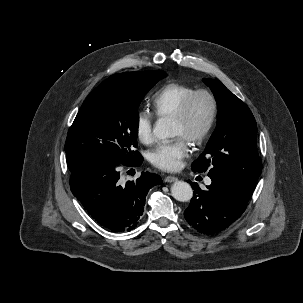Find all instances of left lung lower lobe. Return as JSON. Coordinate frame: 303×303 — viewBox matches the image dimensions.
Masks as SVG:
<instances>
[{
	"instance_id": "obj_1",
	"label": "left lung lower lobe",
	"mask_w": 303,
	"mask_h": 303,
	"mask_svg": "<svg viewBox=\"0 0 303 303\" xmlns=\"http://www.w3.org/2000/svg\"><path fill=\"white\" fill-rule=\"evenodd\" d=\"M212 183L201 190L188 181L194 196L184 216L189 224L205 234L218 233L238 219L244 212L253 190L247 185L223 176L208 174Z\"/></svg>"
}]
</instances>
